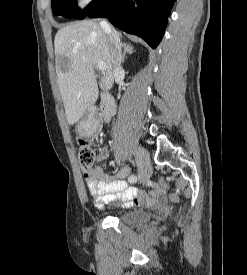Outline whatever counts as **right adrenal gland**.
Here are the masks:
<instances>
[{"label":"right adrenal gland","mask_w":247,"mask_h":275,"mask_svg":"<svg viewBox=\"0 0 247 275\" xmlns=\"http://www.w3.org/2000/svg\"><path fill=\"white\" fill-rule=\"evenodd\" d=\"M124 52H123V56H122V62L124 63L125 61V57H126V54L128 53L129 55L133 54L134 53V48L133 46L130 44V43H124Z\"/></svg>","instance_id":"right-adrenal-gland-1"}]
</instances>
